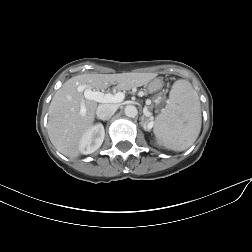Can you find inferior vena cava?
<instances>
[{"mask_svg": "<svg viewBox=\"0 0 252 252\" xmlns=\"http://www.w3.org/2000/svg\"><path fill=\"white\" fill-rule=\"evenodd\" d=\"M117 110L114 104H100L97 107L96 114L101 120H108Z\"/></svg>", "mask_w": 252, "mask_h": 252, "instance_id": "inferior-vena-cava-1", "label": "inferior vena cava"}]
</instances>
